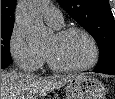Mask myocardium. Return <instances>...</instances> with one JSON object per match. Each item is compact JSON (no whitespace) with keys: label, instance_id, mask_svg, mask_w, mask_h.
<instances>
[{"label":"myocardium","instance_id":"f54148a6","mask_svg":"<svg viewBox=\"0 0 115 99\" xmlns=\"http://www.w3.org/2000/svg\"><path fill=\"white\" fill-rule=\"evenodd\" d=\"M72 33H79L87 39V41L89 42V44L91 46V51H92L91 58L87 63H85L83 65L60 66V65L56 64L47 53H45V58H46L48 66L56 72H67V73L82 72V71L91 69L98 62L99 48H98L97 42L94 39V37L87 30L80 28V27H68V28L59 30L55 35L57 37L61 38V37L67 36Z\"/></svg>","mask_w":115,"mask_h":99}]
</instances>
